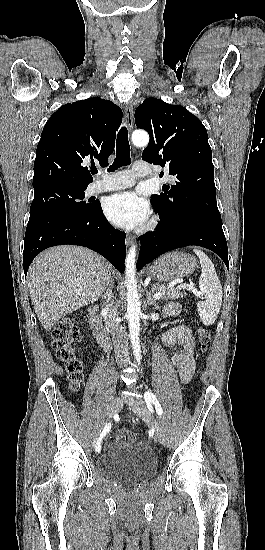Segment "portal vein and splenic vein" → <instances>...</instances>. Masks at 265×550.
Listing matches in <instances>:
<instances>
[{"label": "portal vein and splenic vein", "mask_w": 265, "mask_h": 550, "mask_svg": "<svg viewBox=\"0 0 265 550\" xmlns=\"http://www.w3.org/2000/svg\"><path fill=\"white\" fill-rule=\"evenodd\" d=\"M182 288H183V289H186V288L188 289V286H186V285H179V286L177 287V289H179V290L182 289ZM194 293H195L196 296L200 297V293H198V292H196V291H194ZM162 296H163V293L158 292V293H155V294H154L153 298L156 299V300H158V299L162 298Z\"/></svg>", "instance_id": "obj_1"}]
</instances>
